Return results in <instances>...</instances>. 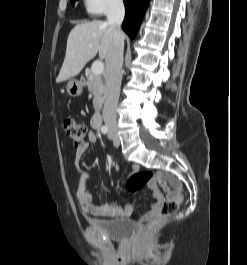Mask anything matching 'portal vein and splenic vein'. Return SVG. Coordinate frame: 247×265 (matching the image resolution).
Segmentation results:
<instances>
[{"mask_svg":"<svg viewBox=\"0 0 247 265\" xmlns=\"http://www.w3.org/2000/svg\"><path fill=\"white\" fill-rule=\"evenodd\" d=\"M104 70V64L102 61H95L93 64H92V67H91V71L96 74V75H100Z\"/></svg>","mask_w":247,"mask_h":265,"instance_id":"18ae733b","label":"portal vein and splenic vein"}]
</instances>
